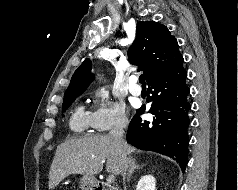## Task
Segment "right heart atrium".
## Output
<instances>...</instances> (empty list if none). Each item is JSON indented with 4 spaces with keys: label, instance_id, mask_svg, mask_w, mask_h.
Returning a JSON list of instances; mask_svg holds the SVG:
<instances>
[{
    "label": "right heart atrium",
    "instance_id": "obj_1",
    "mask_svg": "<svg viewBox=\"0 0 238 190\" xmlns=\"http://www.w3.org/2000/svg\"><path fill=\"white\" fill-rule=\"evenodd\" d=\"M89 124L95 132L105 133L126 127L128 117L123 106L112 102L105 91H98L89 113Z\"/></svg>",
    "mask_w": 238,
    "mask_h": 190
}]
</instances>
